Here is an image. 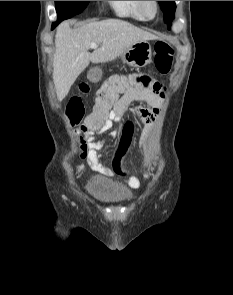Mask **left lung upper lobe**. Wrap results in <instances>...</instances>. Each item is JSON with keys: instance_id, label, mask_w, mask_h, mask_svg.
Masks as SVG:
<instances>
[{"instance_id": "1", "label": "left lung upper lobe", "mask_w": 233, "mask_h": 295, "mask_svg": "<svg viewBox=\"0 0 233 295\" xmlns=\"http://www.w3.org/2000/svg\"><path fill=\"white\" fill-rule=\"evenodd\" d=\"M161 7V10L164 13V22L168 26L171 25V21L174 19L176 5L174 1H158Z\"/></svg>"}]
</instances>
